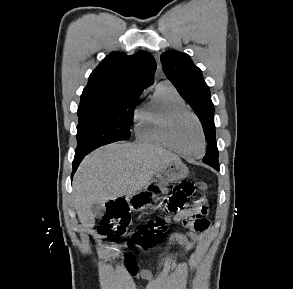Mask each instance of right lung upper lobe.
<instances>
[{"label":"right lung upper lobe","instance_id":"right-lung-upper-lobe-1","mask_svg":"<svg viewBox=\"0 0 293 289\" xmlns=\"http://www.w3.org/2000/svg\"><path fill=\"white\" fill-rule=\"evenodd\" d=\"M156 62L144 51L127 56L112 52L91 73L81 103L138 97L154 81Z\"/></svg>","mask_w":293,"mask_h":289}]
</instances>
